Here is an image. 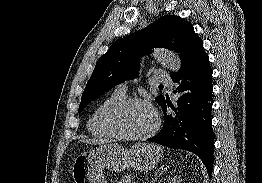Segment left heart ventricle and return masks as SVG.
Segmentation results:
<instances>
[{
	"label": "left heart ventricle",
	"instance_id": "1",
	"mask_svg": "<svg viewBox=\"0 0 262 183\" xmlns=\"http://www.w3.org/2000/svg\"><path fill=\"white\" fill-rule=\"evenodd\" d=\"M155 124V115L147 105H132L122 112L119 117L121 129L132 135L147 133Z\"/></svg>",
	"mask_w": 262,
	"mask_h": 183
}]
</instances>
